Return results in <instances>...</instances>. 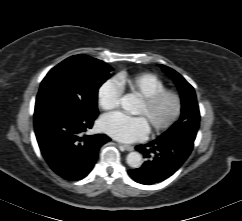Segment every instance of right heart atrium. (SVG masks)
<instances>
[{"instance_id": "obj_1", "label": "right heart atrium", "mask_w": 242, "mask_h": 221, "mask_svg": "<svg viewBox=\"0 0 242 221\" xmlns=\"http://www.w3.org/2000/svg\"><path fill=\"white\" fill-rule=\"evenodd\" d=\"M122 89L115 79L105 80L97 90V103L105 111L114 109L120 102Z\"/></svg>"}]
</instances>
